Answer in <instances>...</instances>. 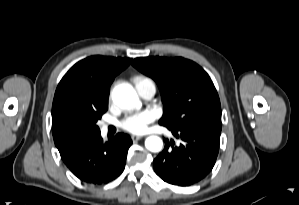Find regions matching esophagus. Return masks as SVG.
I'll return each mask as SVG.
<instances>
[{"label": "esophagus", "mask_w": 299, "mask_h": 205, "mask_svg": "<svg viewBox=\"0 0 299 205\" xmlns=\"http://www.w3.org/2000/svg\"><path fill=\"white\" fill-rule=\"evenodd\" d=\"M143 137L142 136H138V135H132L131 136V139L133 140V141H138V140H140V139H142Z\"/></svg>", "instance_id": "esophagus-1"}]
</instances>
